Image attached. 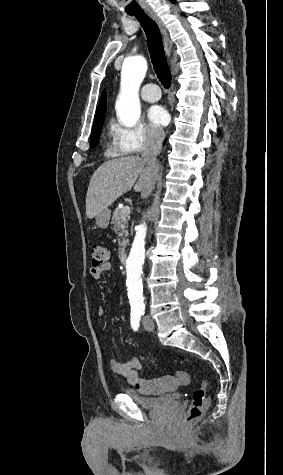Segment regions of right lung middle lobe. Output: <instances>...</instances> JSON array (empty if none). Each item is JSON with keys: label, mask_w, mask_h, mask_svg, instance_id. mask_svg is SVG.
Instances as JSON below:
<instances>
[{"label": "right lung middle lobe", "mask_w": 283, "mask_h": 475, "mask_svg": "<svg viewBox=\"0 0 283 475\" xmlns=\"http://www.w3.org/2000/svg\"><path fill=\"white\" fill-rule=\"evenodd\" d=\"M106 113V105L99 106L95 113L94 124L91 132V143L90 147L94 148L99 141V136L104 122V117Z\"/></svg>", "instance_id": "obj_1"}]
</instances>
